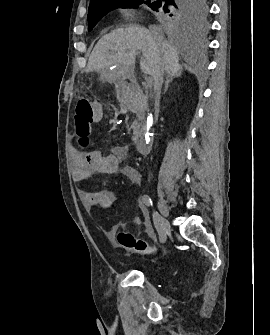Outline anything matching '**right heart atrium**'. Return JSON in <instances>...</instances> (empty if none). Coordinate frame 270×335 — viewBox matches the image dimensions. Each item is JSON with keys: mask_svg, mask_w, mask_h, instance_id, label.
<instances>
[{"mask_svg": "<svg viewBox=\"0 0 270 335\" xmlns=\"http://www.w3.org/2000/svg\"><path fill=\"white\" fill-rule=\"evenodd\" d=\"M123 15L125 19L128 21H133L136 19L135 13L133 12L132 9H129V8L123 9Z\"/></svg>", "mask_w": 270, "mask_h": 335, "instance_id": "right-heart-atrium-1", "label": "right heart atrium"}]
</instances>
